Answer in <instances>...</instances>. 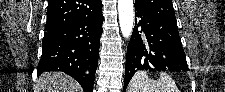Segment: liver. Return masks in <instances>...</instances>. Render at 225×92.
<instances>
[{
    "label": "liver",
    "instance_id": "6515ba94",
    "mask_svg": "<svg viewBox=\"0 0 225 92\" xmlns=\"http://www.w3.org/2000/svg\"><path fill=\"white\" fill-rule=\"evenodd\" d=\"M35 92H81L79 84L61 72H47L37 79Z\"/></svg>",
    "mask_w": 225,
    "mask_h": 92
}]
</instances>
